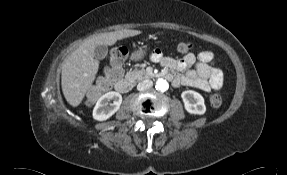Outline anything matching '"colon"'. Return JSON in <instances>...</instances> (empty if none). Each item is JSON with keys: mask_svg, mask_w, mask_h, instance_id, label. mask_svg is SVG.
I'll return each mask as SVG.
<instances>
[{"mask_svg": "<svg viewBox=\"0 0 287 175\" xmlns=\"http://www.w3.org/2000/svg\"><path fill=\"white\" fill-rule=\"evenodd\" d=\"M180 53H188L191 50L190 43H180L177 47ZM126 54V50L124 48H117L111 52L112 58H121ZM210 101L214 106H219L221 104V96L218 93H213L210 97Z\"/></svg>", "mask_w": 287, "mask_h": 175, "instance_id": "obj_1", "label": "colon"}]
</instances>
